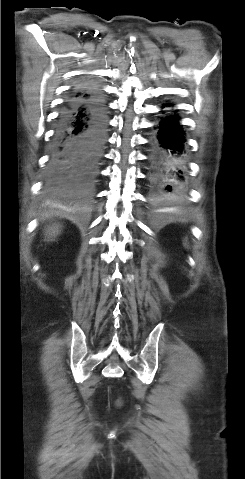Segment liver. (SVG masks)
<instances>
[{
    "label": "liver",
    "instance_id": "6515ba94",
    "mask_svg": "<svg viewBox=\"0 0 245 479\" xmlns=\"http://www.w3.org/2000/svg\"><path fill=\"white\" fill-rule=\"evenodd\" d=\"M60 225L59 224H53L52 226H49L45 233L48 236V238H56L60 234Z\"/></svg>",
    "mask_w": 245,
    "mask_h": 479
}]
</instances>
